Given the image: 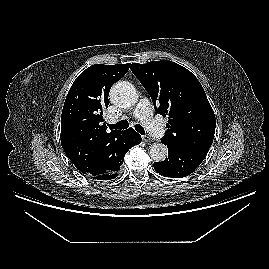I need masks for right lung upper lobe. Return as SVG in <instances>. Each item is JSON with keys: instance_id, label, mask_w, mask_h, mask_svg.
Here are the masks:
<instances>
[{"instance_id": "right-lung-upper-lobe-1", "label": "right lung upper lobe", "mask_w": 269, "mask_h": 269, "mask_svg": "<svg viewBox=\"0 0 269 269\" xmlns=\"http://www.w3.org/2000/svg\"><path fill=\"white\" fill-rule=\"evenodd\" d=\"M129 67L94 64L75 79L67 94L61 116V145L84 174L106 173L119 155L123 131L108 133L102 114L108 107L111 86Z\"/></svg>"}]
</instances>
